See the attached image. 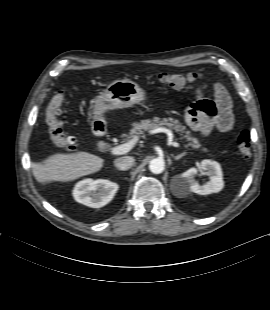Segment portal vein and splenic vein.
<instances>
[{"instance_id": "1", "label": "portal vein and splenic vein", "mask_w": 270, "mask_h": 310, "mask_svg": "<svg viewBox=\"0 0 270 310\" xmlns=\"http://www.w3.org/2000/svg\"><path fill=\"white\" fill-rule=\"evenodd\" d=\"M155 132L156 133H159V132L166 133L167 136H168L169 144L174 146V147H180L179 143L173 141V134H172V132L170 130L165 129V128H157L155 130ZM137 141H138V137L135 136L134 139L129 141V142H127L125 144L118 145L116 147H113L110 152H111L112 155H122V154H125V153L129 152L133 148V146L135 145V143Z\"/></svg>"}]
</instances>
